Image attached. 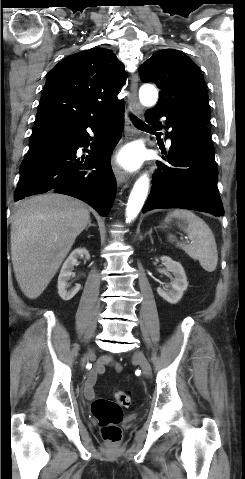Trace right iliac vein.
I'll return each instance as SVG.
<instances>
[{"instance_id":"obj_1","label":"right iliac vein","mask_w":245,"mask_h":479,"mask_svg":"<svg viewBox=\"0 0 245 479\" xmlns=\"http://www.w3.org/2000/svg\"><path fill=\"white\" fill-rule=\"evenodd\" d=\"M93 355V351H90L87 356L83 359L82 361V365L84 366V364L86 363V361L88 360L89 357H91Z\"/></svg>"}]
</instances>
